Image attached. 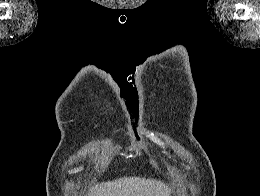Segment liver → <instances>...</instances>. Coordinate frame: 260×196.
Masks as SVG:
<instances>
[{
	"label": "liver",
	"instance_id": "obj_1",
	"mask_svg": "<svg viewBox=\"0 0 260 196\" xmlns=\"http://www.w3.org/2000/svg\"><path fill=\"white\" fill-rule=\"evenodd\" d=\"M172 188L153 178H118L113 182H101L92 188L88 196H171Z\"/></svg>",
	"mask_w": 260,
	"mask_h": 196
}]
</instances>
